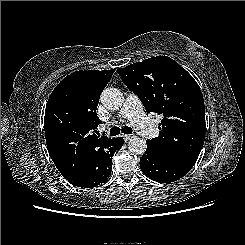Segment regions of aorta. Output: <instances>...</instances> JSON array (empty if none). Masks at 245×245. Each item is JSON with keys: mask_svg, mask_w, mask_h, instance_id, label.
Instances as JSON below:
<instances>
[{"mask_svg": "<svg viewBox=\"0 0 245 245\" xmlns=\"http://www.w3.org/2000/svg\"><path fill=\"white\" fill-rule=\"evenodd\" d=\"M101 103L110 110H117L122 106L124 97L122 92L117 88H106L100 96ZM128 149L136 155H143L147 149L144 139L133 138L128 142Z\"/></svg>", "mask_w": 245, "mask_h": 245, "instance_id": "762f6f07", "label": "aorta"}]
</instances>
